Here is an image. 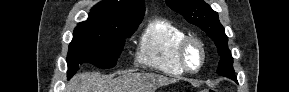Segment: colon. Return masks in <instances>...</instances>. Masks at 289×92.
<instances>
[{
  "label": "colon",
  "instance_id": "1",
  "mask_svg": "<svg viewBox=\"0 0 289 92\" xmlns=\"http://www.w3.org/2000/svg\"><path fill=\"white\" fill-rule=\"evenodd\" d=\"M204 92H215V90L210 89V90H206Z\"/></svg>",
  "mask_w": 289,
  "mask_h": 92
}]
</instances>
